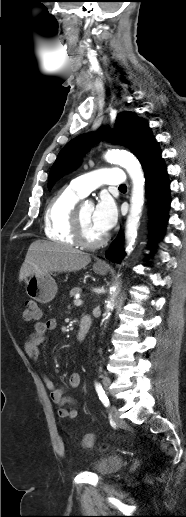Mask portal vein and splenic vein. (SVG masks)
<instances>
[{
	"label": "portal vein and splenic vein",
	"instance_id": "1",
	"mask_svg": "<svg viewBox=\"0 0 186 517\" xmlns=\"http://www.w3.org/2000/svg\"><path fill=\"white\" fill-rule=\"evenodd\" d=\"M82 303H83V302H82V300H80V299H78V298H76V299L74 300V304H75V305H81Z\"/></svg>",
	"mask_w": 186,
	"mask_h": 517
}]
</instances>
